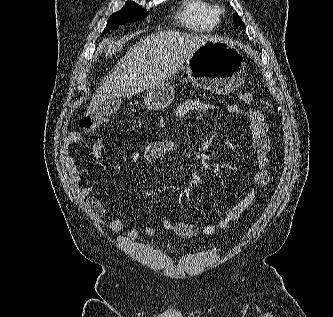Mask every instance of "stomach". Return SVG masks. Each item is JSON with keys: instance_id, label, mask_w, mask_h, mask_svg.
Segmentation results:
<instances>
[{"instance_id": "obj_1", "label": "stomach", "mask_w": 333, "mask_h": 317, "mask_svg": "<svg viewBox=\"0 0 333 317\" xmlns=\"http://www.w3.org/2000/svg\"><path fill=\"white\" fill-rule=\"evenodd\" d=\"M186 73L197 87L219 95H228L244 82L246 62L231 42L209 40L199 46L186 61ZM174 86L167 80L148 89L144 98L150 110L168 107L174 99Z\"/></svg>"}]
</instances>
